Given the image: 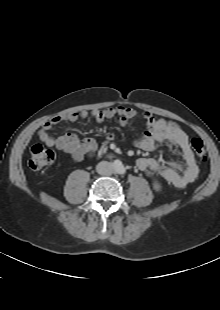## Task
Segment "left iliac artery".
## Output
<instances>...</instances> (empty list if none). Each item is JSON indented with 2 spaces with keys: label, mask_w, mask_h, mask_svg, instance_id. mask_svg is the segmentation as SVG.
Instances as JSON below:
<instances>
[{
  "label": "left iliac artery",
  "mask_w": 220,
  "mask_h": 310,
  "mask_svg": "<svg viewBox=\"0 0 220 310\" xmlns=\"http://www.w3.org/2000/svg\"><path fill=\"white\" fill-rule=\"evenodd\" d=\"M125 172H126V170H125V168L123 166L118 168V173L119 174L123 175V174H125Z\"/></svg>",
  "instance_id": "obj_1"
}]
</instances>
